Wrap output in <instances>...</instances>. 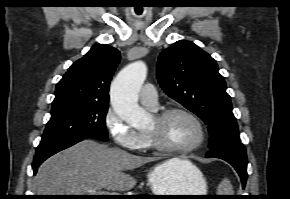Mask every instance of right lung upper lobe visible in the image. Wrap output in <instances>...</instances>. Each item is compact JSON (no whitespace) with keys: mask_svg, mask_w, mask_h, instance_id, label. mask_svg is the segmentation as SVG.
I'll return each mask as SVG.
<instances>
[{"mask_svg":"<svg viewBox=\"0 0 290 199\" xmlns=\"http://www.w3.org/2000/svg\"><path fill=\"white\" fill-rule=\"evenodd\" d=\"M119 62L117 49L94 45L58 82L52 108L74 103L108 104L110 81Z\"/></svg>","mask_w":290,"mask_h":199,"instance_id":"1","label":"right lung upper lobe"}]
</instances>
